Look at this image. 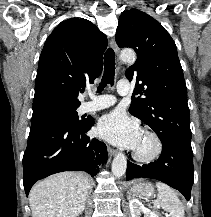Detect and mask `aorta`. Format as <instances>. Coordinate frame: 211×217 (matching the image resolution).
Segmentation results:
<instances>
[{"instance_id": "1", "label": "aorta", "mask_w": 211, "mask_h": 217, "mask_svg": "<svg viewBox=\"0 0 211 217\" xmlns=\"http://www.w3.org/2000/svg\"><path fill=\"white\" fill-rule=\"evenodd\" d=\"M123 62L132 64L136 60V55L132 50H123L120 54ZM127 167V159L123 153H118L112 162V172L116 177H121L125 174Z\"/></svg>"}]
</instances>
